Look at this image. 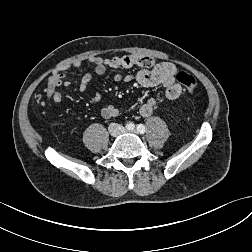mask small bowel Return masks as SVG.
Returning <instances> with one entry per match:
<instances>
[{
  "instance_id": "small-bowel-1",
  "label": "small bowel",
  "mask_w": 252,
  "mask_h": 252,
  "mask_svg": "<svg viewBox=\"0 0 252 252\" xmlns=\"http://www.w3.org/2000/svg\"><path fill=\"white\" fill-rule=\"evenodd\" d=\"M93 66V70L97 75L105 73L107 67L111 69L140 67L135 74L123 75L117 73L114 75V80L117 82H136L143 87L161 86L165 89V96L169 100H176L182 94V87L176 82L177 67L171 62H156L153 58L148 56H141L135 54H128L121 57H113L105 59L100 56H91L88 59ZM75 67H81L82 62L77 60L73 63ZM92 79V72L86 71L80 81L78 91L83 93ZM68 87L70 83L64 81V74L61 71L54 73L48 79L47 87L45 89L48 98H51L57 105L62 103V95L58 91L60 86ZM157 104L155 98L147 99L139 109V113L143 117H148L153 113ZM123 109L114 105H108L102 108L101 116L103 118L117 117L122 113Z\"/></svg>"
}]
</instances>
